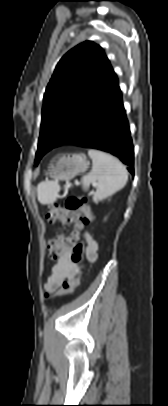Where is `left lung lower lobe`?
<instances>
[{"mask_svg": "<svg viewBox=\"0 0 168 406\" xmlns=\"http://www.w3.org/2000/svg\"><path fill=\"white\" fill-rule=\"evenodd\" d=\"M62 145L102 150L133 166L134 148L117 77L95 104L80 130ZM128 171L134 174L132 167Z\"/></svg>", "mask_w": 168, "mask_h": 406, "instance_id": "1", "label": "left lung lower lobe"}]
</instances>
